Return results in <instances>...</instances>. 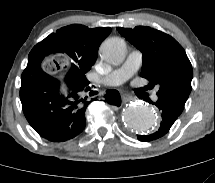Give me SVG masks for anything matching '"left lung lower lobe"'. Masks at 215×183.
<instances>
[{"label": "left lung lower lobe", "instance_id": "left-lung-lower-lobe-1", "mask_svg": "<svg viewBox=\"0 0 215 183\" xmlns=\"http://www.w3.org/2000/svg\"><path fill=\"white\" fill-rule=\"evenodd\" d=\"M151 103L154 104L161 113L162 121L160 124V128L154 134L139 135L138 140L140 141H151L162 137L169 131L173 123L181 114V112L176 108V106L166 99L158 98V100L155 103L153 102Z\"/></svg>", "mask_w": 215, "mask_h": 183}]
</instances>
